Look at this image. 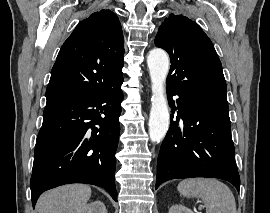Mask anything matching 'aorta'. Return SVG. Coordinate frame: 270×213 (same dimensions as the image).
<instances>
[{
    "label": "aorta",
    "mask_w": 270,
    "mask_h": 213,
    "mask_svg": "<svg viewBox=\"0 0 270 213\" xmlns=\"http://www.w3.org/2000/svg\"><path fill=\"white\" fill-rule=\"evenodd\" d=\"M147 64L151 79L152 98L149 118V136L152 142L159 143L169 128V111L165 96L164 83L169 71V58L162 49H153Z\"/></svg>",
    "instance_id": "aorta-1"
}]
</instances>
